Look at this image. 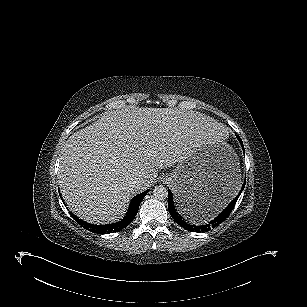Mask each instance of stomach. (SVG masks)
Here are the masks:
<instances>
[{
    "label": "stomach",
    "mask_w": 307,
    "mask_h": 307,
    "mask_svg": "<svg viewBox=\"0 0 307 307\" xmlns=\"http://www.w3.org/2000/svg\"><path fill=\"white\" fill-rule=\"evenodd\" d=\"M178 210L192 219L202 210L226 206L240 186V169L234 150L224 143L194 148L167 176Z\"/></svg>",
    "instance_id": "stomach-1"
}]
</instances>
